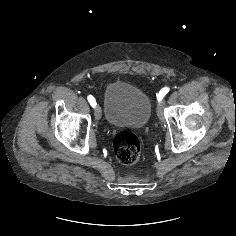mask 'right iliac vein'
I'll use <instances>...</instances> for the list:
<instances>
[{
  "mask_svg": "<svg viewBox=\"0 0 236 236\" xmlns=\"http://www.w3.org/2000/svg\"><path fill=\"white\" fill-rule=\"evenodd\" d=\"M94 114H95V118L99 120L101 118V110H100V108H96Z\"/></svg>",
  "mask_w": 236,
  "mask_h": 236,
  "instance_id": "right-iliac-vein-1",
  "label": "right iliac vein"
}]
</instances>
